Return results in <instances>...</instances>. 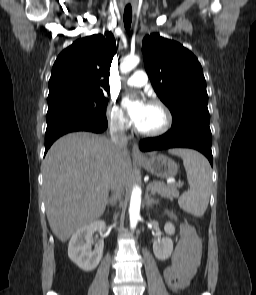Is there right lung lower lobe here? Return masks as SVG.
<instances>
[{
  "mask_svg": "<svg viewBox=\"0 0 256 295\" xmlns=\"http://www.w3.org/2000/svg\"><path fill=\"white\" fill-rule=\"evenodd\" d=\"M108 126L105 115L58 112L47 115L45 153L60 136L74 131L101 133Z\"/></svg>",
  "mask_w": 256,
  "mask_h": 295,
  "instance_id": "right-lung-lower-lobe-1",
  "label": "right lung lower lobe"
}]
</instances>
